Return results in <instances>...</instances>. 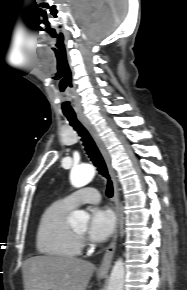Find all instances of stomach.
Masks as SVG:
<instances>
[{
    "label": "stomach",
    "mask_w": 187,
    "mask_h": 290,
    "mask_svg": "<svg viewBox=\"0 0 187 290\" xmlns=\"http://www.w3.org/2000/svg\"><path fill=\"white\" fill-rule=\"evenodd\" d=\"M99 278H101V279H102V278H104V276H99Z\"/></svg>",
    "instance_id": "0dacf381"
}]
</instances>
